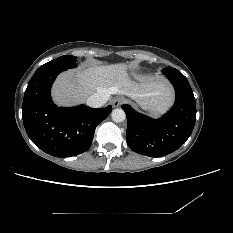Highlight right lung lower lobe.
<instances>
[{
  "mask_svg": "<svg viewBox=\"0 0 233 233\" xmlns=\"http://www.w3.org/2000/svg\"><path fill=\"white\" fill-rule=\"evenodd\" d=\"M62 68L35 72L25 91L22 118L33 143L55 157H71L87 151L97 125L112 111V106L86 105L57 107L51 99V86Z\"/></svg>",
  "mask_w": 233,
  "mask_h": 233,
  "instance_id": "98d812e1",
  "label": "right lung lower lobe"
}]
</instances>
